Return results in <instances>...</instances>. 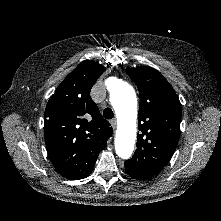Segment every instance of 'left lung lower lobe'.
Masks as SVG:
<instances>
[{"instance_id": "obj_1", "label": "left lung lower lobe", "mask_w": 221, "mask_h": 221, "mask_svg": "<svg viewBox=\"0 0 221 221\" xmlns=\"http://www.w3.org/2000/svg\"><path fill=\"white\" fill-rule=\"evenodd\" d=\"M131 177H134V176H132V175H130ZM134 178H136V179H140V178H137V177H134Z\"/></svg>"}]
</instances>
